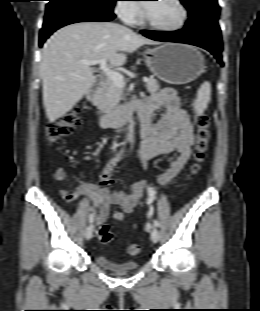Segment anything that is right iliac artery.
I'll return each instance as SVG.
<instances>
[{
	"label": "right iliac artery",
	"mask_w": 260,
	"mask_h": 311,
	"mask_svg": "<svg viewBox=\"0 0 260 311\" xmlns=\"http://www.w3.org/2000/svg\"><path fill=\"white\" fill-rule=\"evenodd\" d=\"M123 145H125V143H123ZM94 220V214H91L89 217V222L92 223Z\"/></svg>",
	"instance_id": "1"
}]
</instances>
